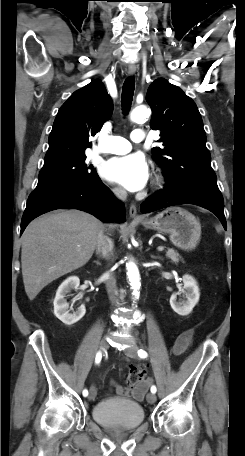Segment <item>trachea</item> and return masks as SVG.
I'll return each instance as SVG.
<instances>
[{
    "mask_svg": "<svg viewBox=\"0 0 245 456\" xmlns=\"http://www.w3.org/2000/svg\"><path fill=\"white\" fill-rule=\"evenodd\" d=\"M134 89H135V80L133 77H128L123 84L122 95H121V102H122V108H123L124 114H127V112L130 110L131 103L133 100V95H134Z\"/></svg>",
    "mask_w": 245,
    "mask_h": 456,
    "instance_id": "3493384b",
    "label": "trachea"
}]
</instances>
